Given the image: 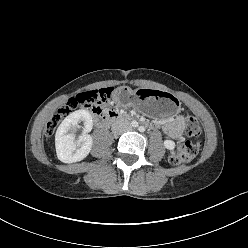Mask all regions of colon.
I'll list each match as a JSON object with an SVG mask.
<instances>
[{
  "mask_svg": "<svg viewBox=\"0 0 248 248\" xmlns=\"http://www.w3.org/2000/svg\"><path fill=\"white\" fill-rule=\"evenodd\" d=\"M114 89L102 88L98 90L85 91L74 98H71L66 105L58 111L47 123L46 137L50 138L61 122L62 118L72 112L78 105H84L91 109L94 113H101L108 108L112 103ZM187 135L191 138L198 137L201 129L197 120L189 117L186 123ZM199 150V143L192 140L180 142L177 151L170 157L173 164H182L191 162L197 155Z\"/></svg>",
  "mask_w": 248,
  "mask_h": 248,
  "instance_id": "obj_1",
  "label": "colon"
}]
</instances>
